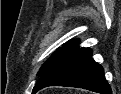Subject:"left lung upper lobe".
<instances>
[{
	"label": "left lung upper lobe",
	"mask_w": 121,
	"mask_h": 94,
	"mask_svg": "<svg viewBox=\"0 0 121 94\" xmlns=\"http://www.w3.org/2000/svg\"><path fill=\"white\" fill-rule=\"evenodd\" d=\"M79 49L78 40L69 41L64 44L63 48H59L54 52L51 57L42 65L37 76H42L46 71L51 69L57 62L63 59L65 56L71 54L75 50Z\"/></svg>",
	"instance_id": "obj_1"
}]
</instances>
